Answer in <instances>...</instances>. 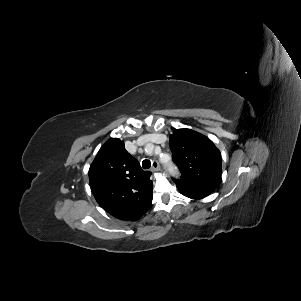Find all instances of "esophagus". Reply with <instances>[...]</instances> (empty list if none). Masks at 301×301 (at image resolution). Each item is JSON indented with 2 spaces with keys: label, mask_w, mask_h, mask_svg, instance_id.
<instances>
[{
  "label": "esophagus",
  "mask_w": 301,
  "mask_h": 301,
  "mask_svg": "<svg viewBox=\"0 0 301 301\" xmlns=\"http://www.w3.org/2000/svg\"><path fill=\"white\" fill-rule=\"evenodd\" d=\"M151 170H152L153 172L160 171V164H159L158 161L154 160V161L152 162V168H151Z\"/></svg>",
  "instance_id": "34e87169"
}]
</instances>
